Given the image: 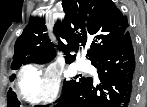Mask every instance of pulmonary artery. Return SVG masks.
Returning <instances> with one entry per match:
<instances>
[{
    "instance_id": "1",
    "label": "pulmonary artery",
    "mask_w": 147,
    "mask_h": 107,
    "mask_svg": "<svg viewBox=\"0 0 147 107\" xmlns=\"http://www.w3.org/2000/svg\"><path fill=\"white\" fill-rule=\"evenodd\" d=\"M77 67L79 68V69H85L86 67H87V63H86V61H80V62H78V64H77Z\"/></svg>"
}]
</instances>
